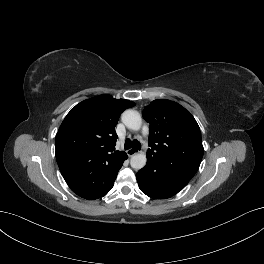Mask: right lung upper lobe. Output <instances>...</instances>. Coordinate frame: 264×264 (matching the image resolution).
I'll list each match as a JSON object with an SVG mask.
<instances>
[{
    "mask_svg": "<svg viewBox=\"0 0 264 264\" xmlns=\"http://www.w3.org/2000/svg\"><path fill=\"white\" fill-rule=\"evenodd\" d=\"M135 103L108 94L77 104L56 135V160L68 186L80 197L97 199L113 187L128 158L115 150L120 114Z\"/></svg>",
    "mask_w": 264,
    "mask_h": 264,
    "instance_id": "obj_1",
    "label": "right lung upper lobe"
}]
</instances>
